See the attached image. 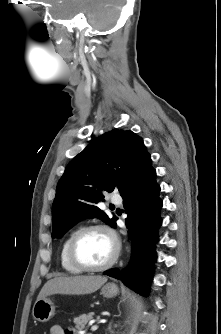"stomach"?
Wrapping results in <instances>:
<instances>
[{
  "label": "stomach",
  "mask_w": 221,
  "mask_h": 334,
  "mask_svg": "<svg viewBox=\"0 0 221 334\" xmlns=\"http://www.w3.org/2000/svg\"><path fill=\"white\" fill-rule=\"evenodd\" d=\"M105 298H113L118 294V287L114 283H107L101 289ZM55 314L54 303L47 297L37 300L32 309V315L39 322L49 321Z\"/></svg>",
  "instance_id": "0dacf381"
}]
</instances>
